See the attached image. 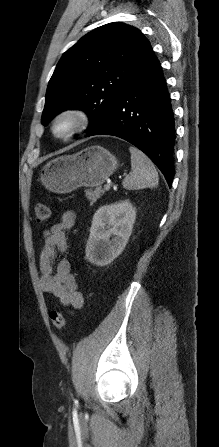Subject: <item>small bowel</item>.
Listing matches in <instances>:
<instances>
[{
	"label": "small bowel",
	"mask_w": 219,
	"mask_h": 447,
	"mask_svg": "<svg viewBox=\"0 0 219 447\" xmlns=\"http://www.w3.org/2000/svg\"><path fill=\"white\" fill-rule=\"evenodd\" d=\"M75 224L76 216L69 210L45 231L44 245L39 256V268L42 289L56 297L64 306L78 310L83 306L84 297L71 273V264L66 259L56 261L58 253L67 251L66 234L74 228Z\"/></svg>",
	"instance_id": "obj_1"
}]
</instances>
